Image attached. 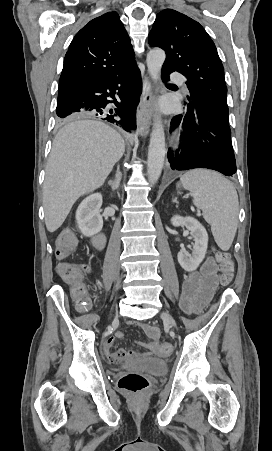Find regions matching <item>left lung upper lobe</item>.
I'll list each match as a JSON object with an SVG mask.
<instances>
[{
  "mask_svg": "<svg viewBox=\"0 0 272 451\" xmlns=\"http://www.w3.org/2000/svg\"><path fill=\"white\" fill-rule=\"evenodd\" d=\"M148 42L166 52L162 68L188 79V99L192 102L186 111H194L198 102L228 120L224 68L214 42L198 22L176 10L165 9L157 14Z\"/></svg>",
  "mask_w": 272,
  "mask_h": 451,
  "instance_id": "obj_1",
  "label": "left lung upper lobe"
}]
</instances>
